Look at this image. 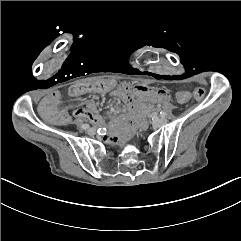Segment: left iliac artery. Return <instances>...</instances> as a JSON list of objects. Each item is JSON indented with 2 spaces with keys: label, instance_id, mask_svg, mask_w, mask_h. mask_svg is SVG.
I'll list each match as a JSON object with an SVG mask.
<instances>
[{
  "label": "left iliac artery",
  "instance_id": "left-iliac-artery-1",
  "mask_svg": "<svg viewBox=\"0 0 241 241\" xmlns=\"http://www.w3.org/2000/svg\"><path fill=\"white\" fill-rule=\"evenodd\" d=\"M160 116H161L162 118H164V117L166 116V112L161 111V112H160Z\"/></svg>",
  "mask_w": 241,
  "mask_h": 241
}]
</instances>
